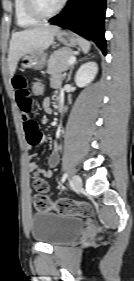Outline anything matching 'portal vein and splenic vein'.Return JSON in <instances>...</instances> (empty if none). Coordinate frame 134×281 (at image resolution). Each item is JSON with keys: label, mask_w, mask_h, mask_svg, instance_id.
I'll return each instance as SVG.
<instances>
[{"label": "portal vein and splenic vein", "mask_w": 134, "mask_h": 281, "mask_svg": "<svg viewBox=\"0 0 134 281\" xmlns=\"http://www.w3.org/2000/svg\"><path fill=\"white\" fill-rule=\"evenodd\" d=\"M76 61V57L72 56L69 60H68V65L73 64Z\"/></svg>", "instance_id": "obj_1"}]
</instances>
